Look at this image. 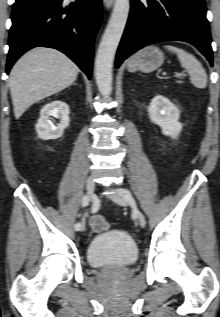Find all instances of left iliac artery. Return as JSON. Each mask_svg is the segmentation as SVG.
Segmentation results:
<instances>
[{
  "instance_id": "left-iliac-artery-1",
  "label": "left iliac artery",
  "mask_w": 220,
  "mask_h": 317,
  "mask_svg": "<svg viewBox=\"0 0 220 317\" xmlns=\"http://www.w3.org/2000/svg\"><path fill=\"white\" fill-rule=\"evenodd\" d=\"M121 190H122L125 198H129V196H131V194L128 190H126V189H121Z\"/></svg>"
}]
</instances>
